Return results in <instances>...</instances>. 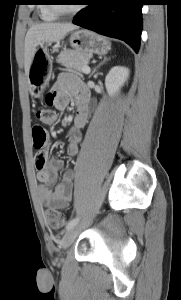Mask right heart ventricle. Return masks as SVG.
Listing matches in <instances>:
<instances>
[{
	"label": "right heart ventricle",
	"mask_w": 181,
	"mask_h": 300,
	"mask_svg": "<svg viewBox=\"0 0 181 300\" xmlns=\"http://www.w3.org/2000/svg\"><path fill=\"white\" fill-rule=\"evenodd\" d=\"M43 3L38 7V15L41 20L45 22H53L58 19V15H56L50 8L49 1L41 0Z\"/></svg>",
	"instance_id": "e07e8e85"
}]
</instances>
